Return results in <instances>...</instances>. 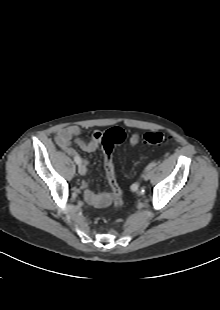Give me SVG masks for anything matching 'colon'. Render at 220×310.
Returning a JSON list of instances; mask_svg holds the SVG:
<instances>
[{"instance_id": "colon-1", "label": "colon", "mask_w": 220, "mask_h": 310, "mask_svg": "<svg viewBox=\"0 0 220 310\" xmlns=\"http://www.w3.org/2000/svg\"><path fill=\"white\" fill-rule=\"evenodd\" d=\"M126 135L122 128L112 127L106 130L101 136V146L105 153L106 171L109 184L112 190V197L109 198L108 203H112L115 207L122 205L121 188L118 184L113 151L115 146L125 141ZM143 140L149 145H161L169 140V137L163 132H147Z\"/></svg>"}]
</instances>
